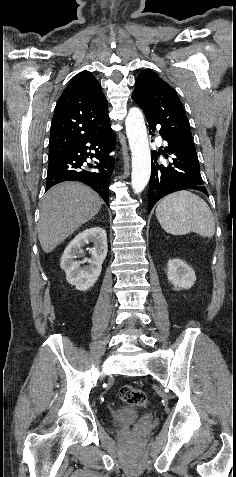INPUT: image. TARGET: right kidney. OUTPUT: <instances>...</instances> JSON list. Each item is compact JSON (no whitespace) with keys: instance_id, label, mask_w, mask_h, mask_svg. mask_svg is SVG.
<instances>
[{"instance_id":"ca27d5eb","label":"right kidney","mask_w":236,"mask_h":477,"mask_svg":"<svg viewBox=\"0 0 236 477\" xmlns=\"http://www.w3.org/2000/svg\"><path fill=\"white\" fill-rule=\"evenodd\" d=\"M89 242L94 245L90 249L91 257L85 258L83 261H76L81 248ZM107 251V235L103 228L94 227L79 233L68 244L61 257L60 266L66 273L67 281L77 290L90 289L100 276ZM85 263L87 265H84Z\"/></svg>"}]
</instances>
